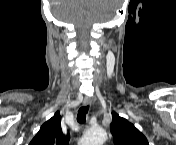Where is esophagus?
<instances>
[{"mask_svg":"<svg viewBox=\"0 0 176 145\" xmlns=\"http://www.w3.org/2000/svg\"><path fill=\"white\" fill-rule=\"evenodd\" d=\"M91 103V98L90 97H85L84 99H83V104L84 105H89Z\"/></svg>","mask_w":176,"mask_h":145,"instance_id":"esophagus-1","label":"esophagus"}]
</instances>
